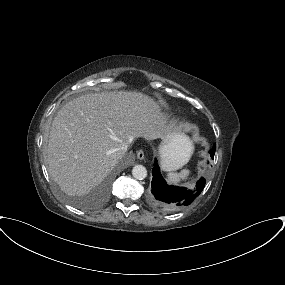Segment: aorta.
I'll return each mask as SVG.
<instances>
[{"mask_svg": "<svg viewBox=\"0 0 285 285\" xmlns=\"http://www.w3.org/2000/svg\"><path fill=\"white\" fill-rule=\"evenodd\" d=\"M132 175L137 180H143L147 177V169L143 165H135L132 169Z\"/></svg>", "mask_w": 285, "mask_h": 285, "instance_id": "1", "label": "aorta"}]
</instances>
